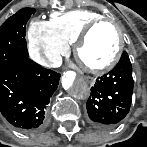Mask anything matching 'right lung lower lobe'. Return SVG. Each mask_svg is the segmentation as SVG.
Instances as JSON below:
<instances>
[{
  "label": "right lung lower lobe",
  "instance_id": "obj_1",
  "mask_svg": "<svg viewBox=\"0 0 147 147\" xmlns=\"http://www.w3.org/2000/svg\"><path fill=\"white\" fill-rule=\"evenodd\" d=\"M60 74L29 58L0 71V111L23 132H38L47 124L46 107L57 89Z\"/></svg>",
  "mask_w": 147,
  "mask_h": 147
}]
</instances>
